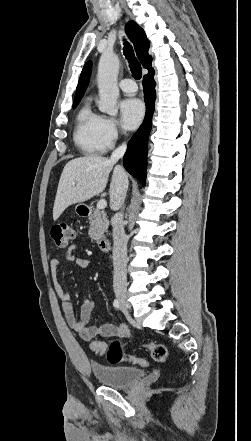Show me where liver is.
<instances>
[{
  "label": "liver",
  "instance_id": "6515ba94",
  "mask_svg": "<svg viewBox=\"0 0 251 441\" xmlns=\"http://www.w3.org/2000/svg\"><path fill=\"white\" fill-rule=\"evenodd\" d=\"M106 157L87 155L70 160L64 167L55 197L53 219L57 220L64 210L75 203L84 202L101 193L113 169L109 195L110 206L117 209L128 188L124 169ZM115 166V167H114ZM114 167V168H113Z\"/></svg>",
  "mask_w": 251,
  "mask_h": 441
}]
</instances>
